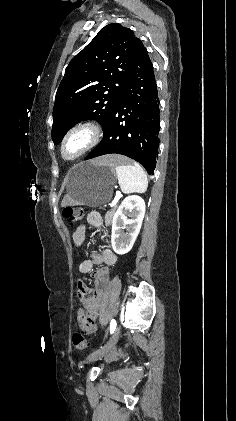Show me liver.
I'll list each match as a JSON object with an SVG mask.
<instances>
[{
    "mask_svg": "<svg viewBox=\"0 0 236 421\" xmlns=\"http://www.w3.org/2000/svg\"><path fill=\"white\" fill-rule=\"evenodd\" d=\"M96 162L100 164H109V166H116L118 162H125L124 156H119V154H107V156H100L97 158ZM67 204H72L69 194H65L61 206H67Z\"/></svg>",
    "mask_w": 236,
    "mask_h": 421,
    "instance_id": "obj_1",
    "label": "liver"
}]
</instances>
